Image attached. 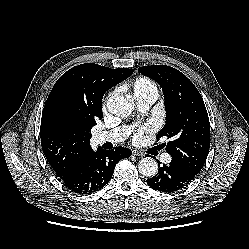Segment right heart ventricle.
I'll return each mask as SVG.
<instances>
[{
    "label": "right heart ventricle",
    "mask_w": 249,
    "mask_h": 249,
    "mask_svg": "<svg viewBox=\"0 0 249 249\" xmlns=\"http://www.w3.org/2000/svg\"><path fill=\"white\" fill-rule=\"evenodd\" d=\"M132 87L135 95L147 93L150 91H157V85L153 80L146 76H139L132 82Z\"/></svg>",
    "instance_id": "obj_1"
}]
</instances>
